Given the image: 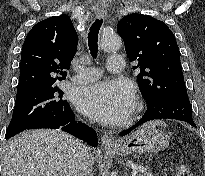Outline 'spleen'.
<instances>
[{
  "label": "spleen",
  "mask_w": 205,
  "mask_h": 176,
  "mask_svg": "<svg viewBox=\"0 0 205 176\" xmlns=\"http://www.w3.org/2000/svg\"><path fill=\"white\" fill-rule=\"evenodd\" d=\"M161 122L159 121H155V122H151L150 124H155V125H159Z\"/></svg>",
  "instance_id": "obj_1"
}]
</instances>
